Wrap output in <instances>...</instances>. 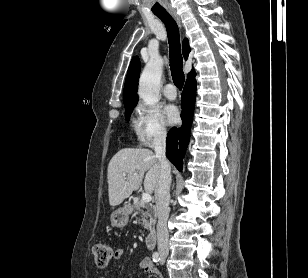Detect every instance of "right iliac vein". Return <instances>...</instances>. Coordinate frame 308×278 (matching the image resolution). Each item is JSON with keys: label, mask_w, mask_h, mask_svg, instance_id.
<instances>
[{"label": "right iliac vein", "mask_w": 308, "mask_h": 278, "mask_svg": "<svg viewBox=\"0 0 308 278\" xmlns=\"http://www.w3.org/2000/svg\"><path fill=\"white\" fill-rule=\"evenodd\" d=\"M161 256H162V257H166V256H167V253H166V252H161Z\"/></svg>", "instance_id": "1"}]
</instances>
